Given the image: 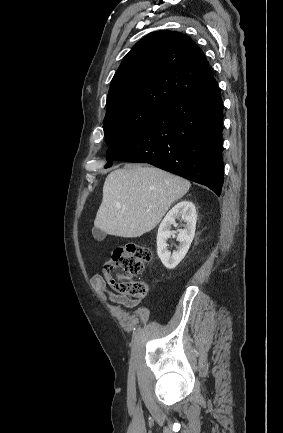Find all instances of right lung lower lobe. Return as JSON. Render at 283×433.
I'll return each mask as SVG.
<instances>
[{
	"label": "right lung lower lobe",
	"instance_id": "right-lung-lower-lobe-1",
	"mask_svg": "<svg viewBox=\"0 0 283 433\" xmlns=\"http://www.w3.org/2000/svg\"><path fill=\"white\" fill-rule=\"evenodd\" d=\"M222 98L217 82L157 113L111 160L149 163L212 189L223 185Z\"/></svg>",
	"mask_w": 283,
	"mask_h": 433
}]
</instances>
